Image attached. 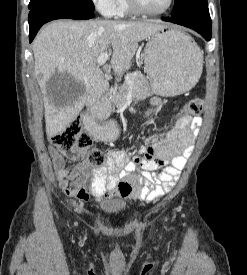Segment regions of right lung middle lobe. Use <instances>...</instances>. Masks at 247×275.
Wrapping results in <instances>:
<instances>
[{
  "label": "right lung middle lobe",
  "mask_w": 247,
  "mask_h": 275,
  "mask_svg": "<svg viewBox=\"0 0 247 275\" xmlns=\"http://www.w3.org/2000/svg\"><path fill=\"white\" fill-rule=\"evenodd\" d=\"M64 5L68 8L94 11L92 0H30L29 9H37L45 6H61Z\"/></svg>",
  "instance_id": "1"
}]
</instances>
